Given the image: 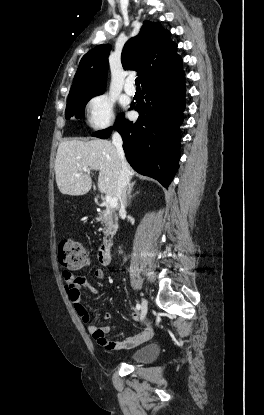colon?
<instances>
[{
  "mask_svg": "<svg viewBox=\"0 0 264 415\" xmlns=\"http://www.w3.org/2000/svg\"><path fill=\"white\" fill-rule=\"evenodd\" d=\"M58 262L63 268L73 270L87 264L88 256L79 242L63 239L59 244Z\"/></svg>",
  "mask_w": 264,
  "mask_h": 415,
  "instance_id": "5ec220e1",
  "label": "colon"
}]
</instances>
